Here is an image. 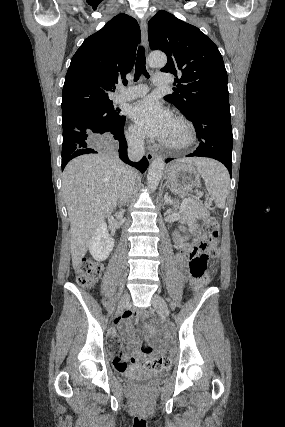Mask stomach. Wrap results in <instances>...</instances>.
I'll return each mask as SVG.
<instances>
[{"instance_id":"1","label":"stomach","mask_w":285,"mask_h":427,"mask_svg":"<svg viewBox=\"0 0 285 427\" xmlns=\"http://www.w3.org/2000/svg\"><path fill=\"white\" fill-rule=\"evenodd\" d=\"M167 181L174 192L188 194L200 185V175L192 164L174 162L166 170Z\"/></svg>"}]
</instances>
